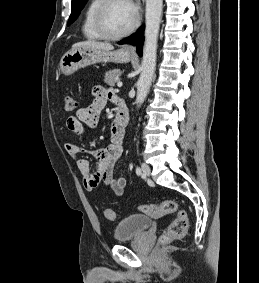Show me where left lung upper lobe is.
Masks as SVG:
<instances>
[{
  "instance_id": "left-lung-upper-lobe-1",
  "label": "left lung upper lobe",
  "mask_w": 259,
  "mask_h": 283,
  "mask_svg": "<svg viewBox=\"0 0 259 283\" xmlns=\"http://www.w3.org/2000/svg\"><path fill=\"white\" fill-rule=\"evenodd\" d=\"M86 2L87 0H72V9H71V15L68 21V25H70L77 19L81 9L84 7Z\"/></svg>"
}]
</instances>
